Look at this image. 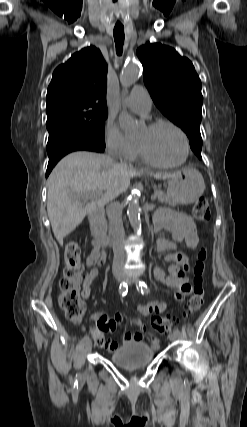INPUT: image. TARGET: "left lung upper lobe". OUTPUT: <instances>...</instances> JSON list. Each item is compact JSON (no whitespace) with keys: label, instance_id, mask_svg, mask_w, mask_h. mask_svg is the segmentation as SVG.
<instances>
[{"label":"left lung upper lobe","instance_id":"left-lung-upper-lobe-1","mask_svg":"<svg viewBox=\"0 0 247 427\" xmlns=\"http://www.w3.org/2000/svg\"><path fill=\"white\" fill-rule=\"evenodd\" d=\"M143 78L160 111L188 136L190 147L201 160L203 96L201 81L192 62L175 49L147 43L137 50Z\"/></svg>","mask_w":247,"mask_h":427}]
</instances>
